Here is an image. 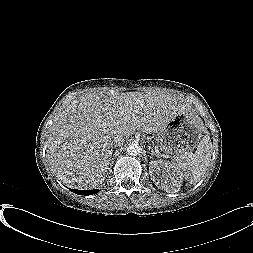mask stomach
Returning a JSON list of instances; mask_svg holds the SVG:
<instances>
[{
  "mask_svg": "<svg viewBox=\"0 0 253 253\" xmlns=\"http://www.w3.org/2000/svg\"><path fill=\"white\" fill-rule=\"evenodd\" d=\"M201 119L191 113H182L172 118L155 137L157 145L165 154L175 158L188 157L197 148L203 137Z\"/></svg>",
  "mask_w": 253,
  "mask_h": 253,
  "instance_id": "0dacf381",
  "label": "stomach"
}]
</instances>
